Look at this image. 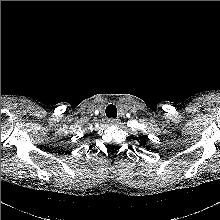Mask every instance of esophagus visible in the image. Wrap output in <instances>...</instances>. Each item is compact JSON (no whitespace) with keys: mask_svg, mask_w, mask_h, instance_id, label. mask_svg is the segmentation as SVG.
Returning <instances> with one entry per match:
<instances>
[{"mask_svg":"<svg viewBox=\"0 0 220 220\" xmlns=\"http://www.w3.org/2000/svg\"><path fill=\"white\" fill-rule=\"evenodd\" d=\"M108 123H109L110 125H118V124L120 123V120L117 119V118H110V119L108 120Z\"/></svg>","mask_w":220,"mask_h":220,"instance_id":"34e87169","label":"esophagus"}]
</instances>
